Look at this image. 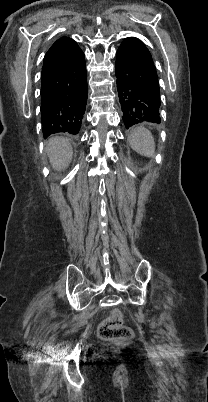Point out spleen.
I'll list each match as a JSON object with an SVG mask.
<instances>
[{
	"mask_svg": "<svg viewBox=\"0 0 208 402\" xmlns=\"http://www.w3.org/2000/svg\"><path fill=\"white\" fill-rule=\"evenodd\" d=\"M129 144L132 150H135L140 156H147L153 158L155 154L154 138L146 128H135L129 136Z\"/></svg>",
	"mask_w": 208,
	"mask_h": 402,
	"instance_id": "3e777b00",
	"label": "spleen"
}]
</instances>
